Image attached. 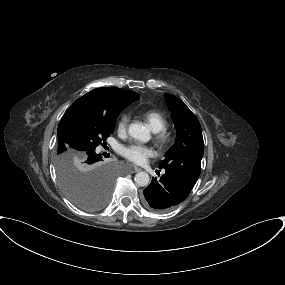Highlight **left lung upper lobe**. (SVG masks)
I'll return each instance as SVG.
<instances>
[{
	"instance_id": "obj_1",
	"label": "left lung upper lobe",
	"mask_w": 285,
	"mask_h": 285,
	"mask_svg": "<svg viewBox=\"0 0 285 285\" xmlns=\"http://www.w3.org/2000/svg\"><path fill=\"white\" fill-rule=\"evenodd\" d=\"M164 97L172 112L177 136L174 145L166 152L165 159L160 162L159 168L182 174L196 183L204 153L201 126L182 100L168 93L164 94Z\"/></svg>"
}]
</instances>
